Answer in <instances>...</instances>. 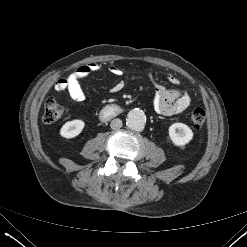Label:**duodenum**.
Returning a JSON list of instances; mask_svg holds the SVG:
<instances>
[{
	"label": "duodenum",
	"mask_w": 247,
	"mask_h": 247,
	"mask_svg": "<svg viewBox=\"0 0 247 247\" xmlns=\"http://www.w3.org/2000/svg\"><path fill=\"white\" fill-rule=\"evenodd\" d=\"M122 112L121 107H119L118 105H107L105 106L101 112H100V117L104 120L113 118L117 115H119Z\"/></svg>",
	"instance_id": "obj_1"
}]
</instances>
